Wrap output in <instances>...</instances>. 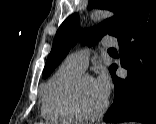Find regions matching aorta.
I'll list each match as a JSON object with an SVG mask.
<instances>
[{
    "label": "aorta",
    "mask_w": 156,
    "mask_h": 124,
    "mask_svg": "<svg viewBox=\"0 0 156 124\" xmlns=\"http://www.w3.org/2000/svg\"><path fill=\"white\" fill-rule=\"evenodd\" d=\"M114 14L108 10H95L91 14V19L95 22L102 21L106 18L112 17Z\"/></svg>",
    "instance_id": "aorta-1"
}]
</instances>
